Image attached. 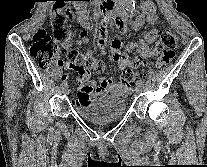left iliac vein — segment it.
Here are the masks:
<instances>
[{"label":"left iliac vein","instance_id":"obj_1","mask_svg":"<svg viewBox=\"0 0 207 167\" xmlns=\"http://www.w3.org/2000/svg\"><path fill=\"white\" fill-rule=\"evenodd\" d=\"M141 91H142V85L137 84L135 87V92L138 94V93H141Z\"/></svg>","mask_w":207,"mask_h":167}]
</instances>
